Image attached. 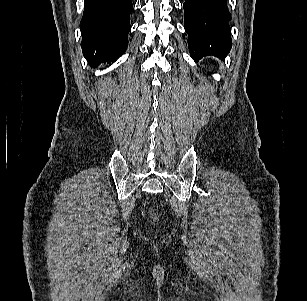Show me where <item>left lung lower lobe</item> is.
<instances>
[{
	"mask_svg": "<svg viewBox=\"0 0 307 301\" xmlns=\"http://www.w3.org/2000/svg\"><path fill=\"white\" fill-rule=\"evenodd\" d=\"M183 9L192 58L197 61L213 55L224 59L232 46L227 0H185Z\"/></svg>",
	"mask_w": 307,
	"mask_h": 301,
	"instance_id": "obj_1",
	"label": "left lung lower lobe"
}]
</instances>
